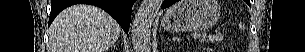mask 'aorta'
I'll use <instances>...</instances> for the list:
<instances>
[{"label": "aorta", "instance_id": "762f6f07", "mask_svg": "<svg viewBox=\"0 0 305 52\" xmlns=\"http://www.w3.org/2000/svg\"><path fill=\"white\" fill-rule=\"evenodd\" d=\"M162 5V0H143L133 21L132 43L135 52H150L151 26Z\"/></svg>", "mask_w": 305, "mask_h": 52}]
</instances>
